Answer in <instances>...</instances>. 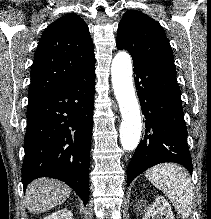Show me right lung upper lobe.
<instances>
[{
  "label": "right lung upper lobe",
  "mask_w": 211,
  "mask_h": 219,
  "mask_svg": "<svg viewBox=\"0 0 211 219\" xmlns=\"http://www.w3.org/2000/svg\"><path fill=\"white\" fill-rule=\"evenodd\" d=\"M95 66L86 23L76 14L60 17L46 28L34 55L29 99L44 95Z\"/></svg>",
  "instance_id": "cb5924a9"
}]
</instances>
